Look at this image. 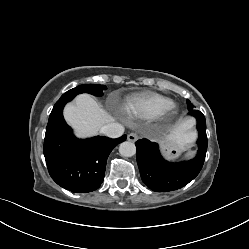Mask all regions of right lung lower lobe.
<instances>
[{
	"label": "right lung lower lobe",
	"instance_id": "1",
	"mask_svg": "<svg viewBox=\"0 0 249 249\" xmlns=\"http://www.w3.org/2000/svg\"><path fill=\"white\" fill-rule=\"evenodd\" d=\"M64 106L54 107L49 116L43 147L47 168L52 179L66 190L91 192L103 182L110 152L127 136L77 139L63 118Z\"/></svg>",
	"mask_w": 249,
	"mask_h": 249
}]
</instances>
